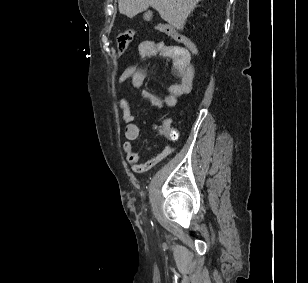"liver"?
Wrapping results in <instances>:
<instances>
[{
	"instance_id": "6515ba94",
	"label": "liver",
	"mask_w": 308,
	"mask_h": 283,
	"mask_svg": "<svg viewBox=\"0 0 308 283\" xmlns=\"http://www.w3.org/2000/svg\"><path fill=\"white\" fill-rule=\"evenodd\" d=\"M201 0H118L121 14L133 18L149 6L158 11L160 17L176 29L183 30L185 21Z\"/></svg>"
}]
</instances>
